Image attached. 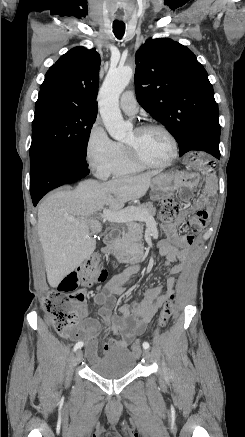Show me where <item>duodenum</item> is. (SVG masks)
Masks as SVG:
<instances>
[{
	"label": "duodenum",
	"mask_w": 245,
	"mask_h": 437,
	"mask_svg": "<svg viewBox=\"0 0 245 437\" xmlns=\"http://www.w3.org/2000/svg\"><path fill=\"white\" fill-rule=\"evenodd\" d=\"M118 237H119L118 231L116 230L111 231L106 239L107 246L102 250V252L106 256H110V255L114 256L120 262L133 263L132 267H130L121 275L117 276V277H121L123 281H126L131 275H133L139 270L140 268L139 262L143 257V251L138 246L127 247V248L118 247L116 245Z\"/></svg>",
	"instance_id": "1"
}]
</instances>
